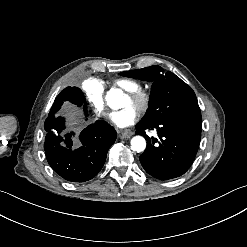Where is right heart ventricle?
I'll list each match as a JSON object with an SVG mask.
<instances>
[{
    "mask_svg": "<svg viewBox=\"0 0 247 247\" xmlns=\"http://www.w3.org/2000/svg\"><path fill=\"white\" fill-rule=\"evenodd\" d=\"M119 85L128 91H134L138 88V85L132 81L122 80Z\"/></svg>",
    "mask_w": 247,
    "mask_h": 247,
    "instance_id": "e07e8e85",
    "label": "right heart ventricle"
}]
</instances>
